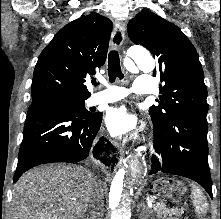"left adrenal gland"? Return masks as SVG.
Here are the masks:
<instances>
[{
  "label": "left adrenal gland",
  "mask_w": 221,
  "mask_h": 219,
  "mask_svg": "<svg viewBox=\"0 0 221 219\" xmlns=\"http://www.w3.org/2000/svg\"><path fill=\"white\" fill-rule=\"evenodd\" d=\"M141 207H142V205H139L138 209H137V211L140 212V219H147V217L150 214V210H149V208L144 207L143 210H145V212H141Z\"/></svg>",
  "instance_id": "a2214340"
}]
</instances>
